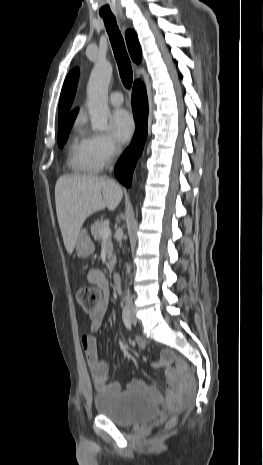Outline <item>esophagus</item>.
Segmentation results:
<instances>
[{
  "label": "esophagus",
  "mask_w": 263,
  "mask_h": 465,
  "mask_svg": "<svg viewBox=\"0 0 263 465\" xmlns=\"http://www.w3.org/2000/svg\"><path fill=\"white\" fill-rule=\"evenodd\" d=\"M119 18H120L122 21L125 20L124 16H122V15H121ZM137 77H139V75H137Z\"/></svg>",
  "instance_id": "34e87169"
}]
</instances>
